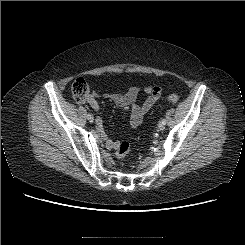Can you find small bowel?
<instances>
[{"mask_svg": "<svg viewBox=\"0 0 245 245\" xmlns=\"http://www.w3.org/2000/svg\"><path fill=\"white\" fill-rule=\"evenodd\" d=\"M139 86H131L125 94L109 92L104 96L109 101L113 102L116 106L121 107L124 112H130V116L127 119L128 124L132 128H136L140 125L144 115L153 107V105L161 97L162 90L157 86L146 85L143 87V91L146 94V98L141 104H136V98L140 91ZM87 103L94 109H99V103L95 94L89 95ZM100 122V119H98ZM106 140V146L108 149H114L117 146V142L108 138L103 134Z\"/></svg>", "mask_w": 245, "mask_h": 245, "instance_id": "1", "label": "small bowel"}]
</instances>
